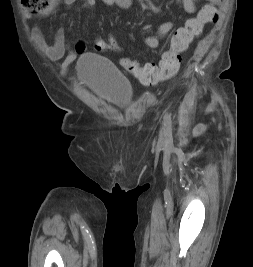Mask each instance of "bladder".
Returning <instances> with one entry per match:
<instances>
[{
  "label": "bladder",
  "instance_id": "31cf9c89",
  "mask_svg": "<svg viewBox=\"0 0 253 267\" xmlns=\"http://www.w3.org/2000/svg\"><path fill=\"white\" fill-rule=\"evenodd\" d=\"M77 76L81 83L119 107H126L133 99L134 92L128 79L98 54L86 53L79 58Z\"/></svg>",
  "mask_w": 253,
  "mask_h": 267
}]
</instances>
